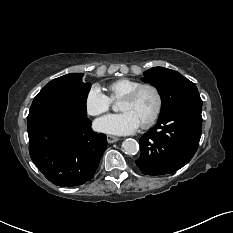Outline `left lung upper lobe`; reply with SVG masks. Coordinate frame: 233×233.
Segmentation results:
<instances>
[{
    "mask_svg": "<svg viewBox=\"0 0 233 233\" xmlns=\"http://www.w3.org/2000/svg\"><path fill=\"white\" fill-rule=\"evenodd\" d=\"M142 80L158 89L162 99L160 115L186 105H202L195 84L174 70L154 67L144 72Z\"/></svg>",
    "mask_w": 233,
    "mask_h": 233,
    "instance_id": "5c2ea615",
    "label": "left lung upper lobe"
}]
</instances>
